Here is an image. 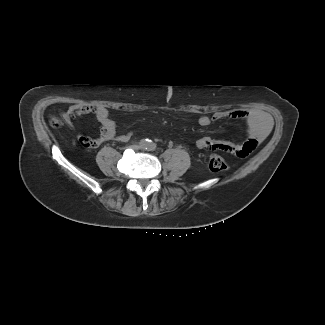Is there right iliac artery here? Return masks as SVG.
<instances>
[{
  "instance_id": "82829eb1",
  "label": "right iliac artery",
  "mask_w": 325,
  "mask_h": 325,
  "mask_svg": "<svg viewBox=\"0 0 325 325\" xmlns=\"http://www.w3.org/2000/svg\"><path fill=\"white\" fill-rule=\"evenodd\" d=\"M148 139L141 141V146H145L147 144Z\"/></svg>"
}]
</instances>
